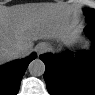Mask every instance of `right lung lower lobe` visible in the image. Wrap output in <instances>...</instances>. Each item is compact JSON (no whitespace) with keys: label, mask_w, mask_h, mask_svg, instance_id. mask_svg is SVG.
I'll list each match as a JSON object with an SVG mask.
<instances>
[{"label":"right lung lower lobe","mask_w":95,"mask_h":95,"mask_svg":"<svg viewBox=\"0 0 95 95\" xmlns=\"http://www.w3.org/2000/svg\"><path fill=\"white\" fill-rule=\"evenodd\" d=\"M36 58V53L31 54L24 60H16L0 68V82L5 94H17L21 79L29 63Z\"/></svg>","instance_id":"right-lung-lower-lobe-1"}]
</instances>
